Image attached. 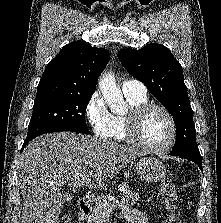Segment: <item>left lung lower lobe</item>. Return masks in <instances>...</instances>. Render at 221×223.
Instances as JSON below:
<instances>
[{"label": "left lung lower lobe", "instance_id": "obj_1", "mask_svg": "<svg viewBox=\"0 0 221 223\" xmlns=\"http://www.w3.org/2000/svg\"><path fill=\"white\" fill-rule=\"evenodd\" d=\"M179 157L184 158V159H188V160H191V161L195 162L199 166L201 171H202L201 155L200 156H197V155H181Z\"/></svg>", "mask_w": 221, "mask_h": 223}]
</instances>
